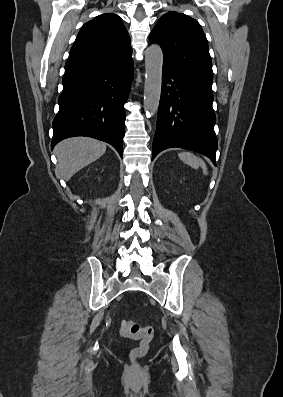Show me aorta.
Wrapping results in <instances>:
<instances>
[{
	"label": "aorta",
	"mask_w": 283,
	"mask_h": 397,
	"mask_svg": "<svg viewBox=\"0 0 283 397\" xmlns=\"http://www.w3.org/2000/svg\"><path fill=\"white\" fill-rule=\"evenodd\" d=\"M163 53L152 44L145 51L144 110L153 116L158 110L162 85Z\"/></svg>",
	"instance_id": "762f6f07"
}]
</instances>
